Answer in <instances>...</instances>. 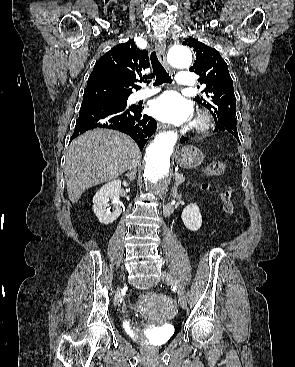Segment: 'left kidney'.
Segmentation results:
<instances>
[{
  "label": "left kidney",
  "instance_id": "obj_1",
  "mask_svg": "<svg viewBox=\"0 0 295 367\" xmlns=\"http://www.w3.org/2000/svg\"><path fill=\"white\" fill-rule=\"evenodd\" d=\"M186 228L191 231H198L202 225V216L199 207L195 203L186 206L181 215Z\"/></svg>",
  "mask_w": 295,
  "mask_h": 367
}]
</instances>
